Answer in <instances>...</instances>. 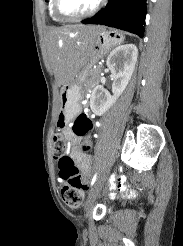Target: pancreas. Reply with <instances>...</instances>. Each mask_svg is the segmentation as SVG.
<instances>
[{"label":"pancreas","instance_id":"cf45deb5","mask_svg":"<svg viewBox=\"0 0 183 246\" xmlns=\"http://www.w3.org/2000/svg\"><path fill=\"white\" fill-rule=\"evenodd\" d=\"M98 72H99V69H92L90 73H91V75H93V74H96Z\"/></svg>","mask_w":183,"mask_h":246}]
</instances>
